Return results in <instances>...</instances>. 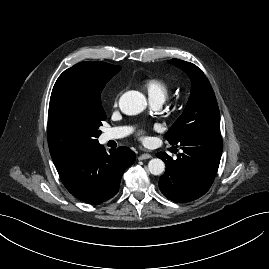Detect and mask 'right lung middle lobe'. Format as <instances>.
I'll use <instances>...</instances> for the list:
<instances>
[{"mask_svg": "<svg viewBox=\"0 0 269 269\" xmlns=\"http://www.w3.org/2000/svg\"><path fill=\"white\" fill-rule=\"evenodd\" d=\"M94 75L81 64L65 70L57 79L48 111V144L53 162L71 157L98 145L99 127L106 119L100 94L110 78H99L95 94L68 95L66 85Z\"/></svg>", "mask_w": 269, "mask_h": 269, "instance_id": "right-lung-middle-lobe-1", "label": "right lung middle lobe"}]
</instances>
